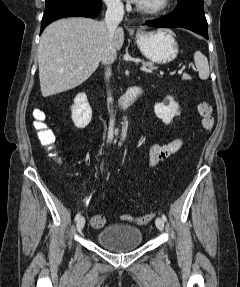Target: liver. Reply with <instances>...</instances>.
Masks as SVG:
<instances>
[{
  "label": "liver",
  "instance_id": "obj_1",
  "mask_svg": "<svg viewBox=\"0 0 240 287\" xmlns=\"http://www.w3.org/2000/svg\"><path fill=\"white\" fill-rule=\"evenodd\" d=\"M124 43L118 28L112 39L104 21L73 17L51 23L38 47L40 87L43 97L73 89L86 81L100 62L115 60Z\"/></svg>",
  "mask_w": 240,
  "mask_h": 287
}]
</instances>
